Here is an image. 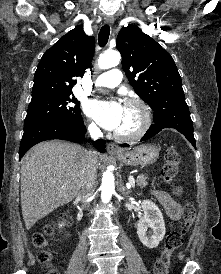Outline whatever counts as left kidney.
I'll use <instances>...</instances> for the list:
<instances>
[{
	"label": "left kidney",
	"mask_w": 221,
	"mask_h": 274,
	"mask_svg": "<svg viewBox=\"0 0 221 274\" xmlns=\"http://www.w3.org/2000/svg\"><path fill=\"white\" fill-rule=\"evenodd\" d=\"M141 207L144 215L137 224V234L143 245L149 249H153L164 238L166 232L165 222L160 209L152 201L143 200ZM148 228H151L152 233L147 234Z\"/></svg>",
	"instance_id": "5707ae66"
}]
</instances>
